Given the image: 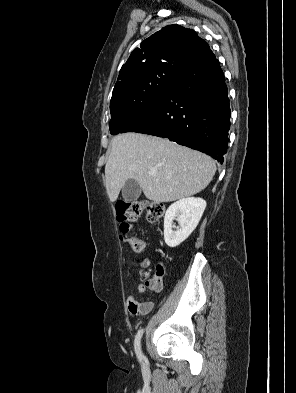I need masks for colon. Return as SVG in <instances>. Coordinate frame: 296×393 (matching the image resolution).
<instances>
[{
	"label": "colon",
	"instance_id": "5ec220e1",
	"mask_svg": "<svg viewBox=\"0 0 296 393\" xmlns=\"http://www.w3.org/2000/svg\"><path fill=\"white\" fill-rule=\"evenodd\" d=\"M165 207L162 203L149 199H142L132 203L121 202L117 206V219L120 222V237L126 240L132 249L141 252L144 249L143 241L131 234V224L135 222L139 216L145 212L149 222L154 223L160 220L164 215ZM161 267L158 268L155 276H149V284L155 287L159 280Z\"/></svg>",
	"mask_w": 296,
	"mask_h": 393
}]
</instances>
